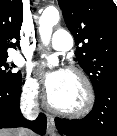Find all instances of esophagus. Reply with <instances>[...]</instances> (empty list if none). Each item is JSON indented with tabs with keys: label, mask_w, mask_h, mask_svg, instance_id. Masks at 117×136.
Masks as SVG:
<instances>
[{
	"label": "esophagus",
	"mask_w": 117,
	"mask_h": 136,
	"mask_svg": "<svg viewBox=\"0 0 117 136\" xmlns=\"http://www.w3.org/2000/svg\"><path fill=\"white\" fill-rule=\"evenodd\" d=\"M47 133L50 135L55 133V121L51 114H47Z\"/></svg>",
	"instance_id": "34e87169"
}]
</instances>
